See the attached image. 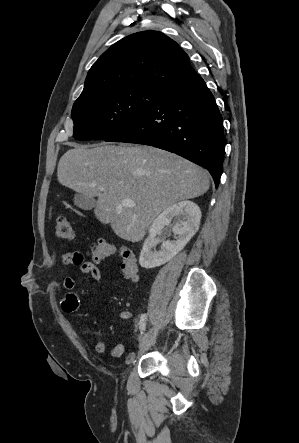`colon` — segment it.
Here are the masks:
<instances>
[{
  "instance_id": "obj_1",
  "label": "colon",
  "mask_w": 299,
  "mask_h": 443,
  "mask_svg": "<svg viewBox=\"0 0 299 443\" xmlns=\"http://www.w3.org/2000/svg\"><path fill=\"white\" fill-rule=\"evenodd\" d=\"M56 235L63 240L73 241L75 232L64 216H59L55 226ZM92 258L95 262H102L111 256L118 254L120 257V269L124 277L134 279L137 276V262L131 249L125 246L117 247L105 240H98L91 247Z\"/></svg>"
}]
</instances>
